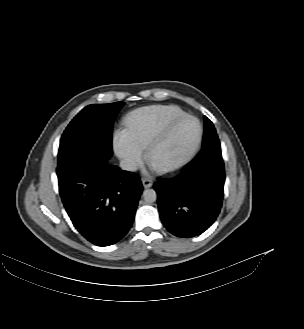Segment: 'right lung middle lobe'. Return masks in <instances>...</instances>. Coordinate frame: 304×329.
I'll list each match as a JSON object with an SVG mask.
<instances>
[{
	"label": "right lung middle lobe",
	"mask_w": 304,
	"mask_h": 329,
	"mask_svg": "<svg viewBox=\"0 0 304 329\" xmlns=\"http://www.w3.org/2000/svg\"><path fill=\"white\" fill-rule=\"evenodd\" d=\"M123 102L92 104L78 113L65 129L58 151V166L67 162L112 156V125Z\"/></svg>",
	"instance_id": "obj_1"
}]
</instances>
